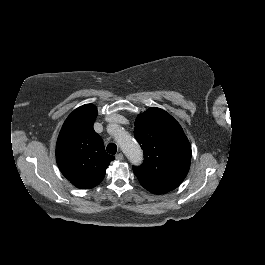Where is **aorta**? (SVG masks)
Masks as SVG:
<instances>
[{"label":"aorta","instance_id":"aorta-1","mask_svg":"<svg viewBox=\"0 0 265 265\" xmlns=\"http://www.w3.org/2000/svg\"><path fill=\"white\" fill-rule=\"evenodd\" d=\"M119 132L121 134L123 130L120 129ZM116 141L119 142L122 152L133 166H140L142 164L144 160L143 150L129 133H126L122 141H119L118 138H116Z\"/></svg>","mask_w":265,"mask_h":265}]
</instances>
